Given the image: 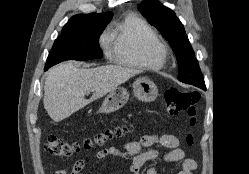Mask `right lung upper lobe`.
I'll return each instance as SVG.
<instances>
[{"mask_svg":"<svg viewBox=\"0 0 249 174\" xmlns=\"http://www.w3.org/2000/svg\"><path fill=\"white\" fill-rule=\"evenodd\" d=\"M113 14L111 12L108 13H91V14H78L73 16L68 23L63 27L62 32H67L79 28H83L89 24L96 22H110Z\"/></svg>","mask_w":249,"mask_h":174,"instance_id":"cb5924a9","label":"right lung upper lobe"}]
</instances>
